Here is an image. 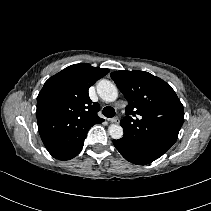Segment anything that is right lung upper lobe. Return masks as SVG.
<instances>
[{
  "mask_svg": "<svg viewBox=\"0 0 211 211\" xmlns=\"http://www.w3.org/2000/svg\"><path fill=\"white\" fill-rule=\"evenodd\" d=\"M109 69L79 63L49 78L37 97V122L48 152L58 160H69L94 124L104 121L97 115L88 89Z\"/></svg>",
  "mask_w": 211,
  "mask_h": 211,
  "instance_id": "1",
  "label": "right lung upper lobe"
}]
</instances>
